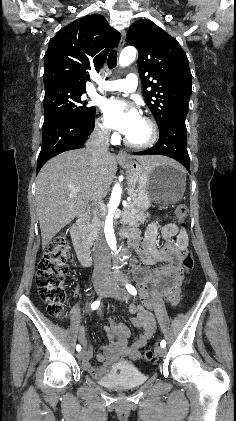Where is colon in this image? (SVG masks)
I'll return each instance as SVG.
<instances>
[{
    "label": "colon",
    "instance_id": "5ec220e1",
    "mask_svg": "<svg viewBox=\"0 0 236 421\" xmlns=\"http://www.w3.org/2000/svg\"><path fill=\"white\" fill-rule=\"evenodd\" d=\"M176 215L183 222L188 215L187 207L184 204L178 205ZM182 227H185V225L182 224ZM68 259L69 245L67 236L61 233L54 237L46 247L37 271L36 281L39 296L46 303L48 313L57 318H63L65 313ZM181 265L182 273H188L193 269L194 257L189 250H185L182 253ZM143 357L147 361L152 360L154 358V351L152 349H146Z\"/></svg>",
    "mask_w": 236,
    "mask_h": 421
}]
</instances>
